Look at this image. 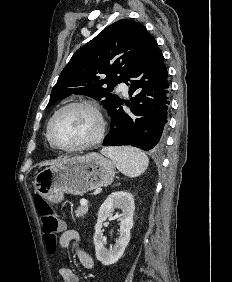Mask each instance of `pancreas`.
<instances>
[{
    "mask_svg": "<svg viewBox=\"0 0 232 282\" xmlns=\"http://www.w3.org/2000/svg\"><path fill=\"white\" fill-rule=\"evenodd\" d=\"M88 213V206H80L78 209L75 211L76 217H82L84 218L85 215Z\"/></svg>",
    "mask_w": 232,
    "mask_h": 282,
    "instance_id": "obj_1",
    "label": "pancreas"
}]
</instances>
